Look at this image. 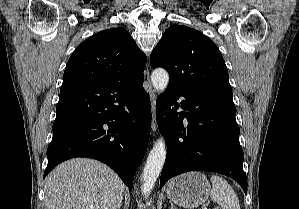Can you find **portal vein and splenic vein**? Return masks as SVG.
Here are the masks:
<instances>
[{
  "label": "portal vein and splenic vein",
  "mask_w": 299,
  "mask_h": 209,
  "mask_svg": "<svg viewBox=\"0 0 299 209\" xmlns=\"http://www.w3.org/2000/svg\"><path fill=\"white\" fill-rule=\"evenodd\" d=\"M203 209H207V207H203Z\"/></svg>",
  "instance_id": "18ae733b"
}]
</instances>
